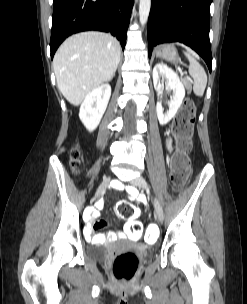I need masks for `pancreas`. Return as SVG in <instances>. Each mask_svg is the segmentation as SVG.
<instances>
[{
	"label": "pancreas",
	"instance_id": "pancreas-1",
	"mask_svg": "<svg viewBox=\"0 0 247 304\" xmlns=\"http://www.w3.org/2000/svg\"><path fill=\"white\" fill-rule=\"evenodd\" d=\"M183 83H184L186 89L188 90V92H190L191 89H192V85H191L190 80L189 79H183Z\"/></svg>",
	"mask_w": 247,
	"mask_h": 304
}]
</instances>
